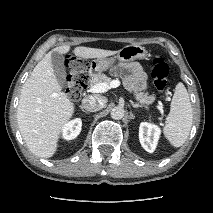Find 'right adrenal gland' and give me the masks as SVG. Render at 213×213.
Returning <instances> with one entry per match:
<instances>
[{"instance_id":"2a0ac1e0","label":"right adrenal gland","mask_w":213,"mask_h":213,"mask_svg":"<svg viewBox=\"0 0 213 213\" xmlns=\"http://www.w3.org/2000/svg\"><path fill=\"white\" fill-rule=\"evenodd\" d=\"M81 111H83L86 114H89L90 112H88L87 110H85L82 106H80Z\"/></svg>"}]
</instances>
